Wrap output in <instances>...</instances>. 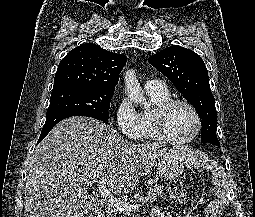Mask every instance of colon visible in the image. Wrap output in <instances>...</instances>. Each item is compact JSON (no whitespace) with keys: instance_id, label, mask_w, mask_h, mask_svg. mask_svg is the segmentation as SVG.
<instances>
[{"instance_id":"1","label":"colon","mask_w":255,"mask_h":217,"mask_svg":"<svg viewBox=\"0 0 255 217\" xmlns=\"http://www.w3.org/2000/svg\"><path fill=\"white\" fill-rule=\"evenodd\" d=\"M169 196L170 200L174 204L182 203L186 198V192L182 186V184L178 181H174L170 185L169 189ZM210 205L212 206V209H210V213H213L218 208V203L216 200H213Z\"/></svg>"}]
</instances>
